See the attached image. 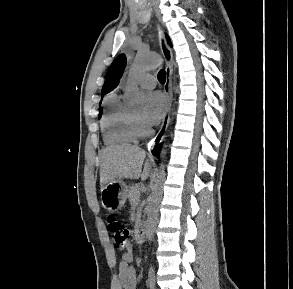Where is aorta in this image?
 <instances>
[{
	"label": "aorta",
	"mask_w": 293,
	"mask_h": 289,
	"mask_svg": "<svg viewBox=\"0 0 293 289\" xmlns=\"http://www.w3.org/2000/svg\"><path fill=\"white\" fill-rule=\"evenodd\" d=\"M162 64L161 58L139 53L131 68L130 79L127 88V100L131 105L139 106L144 103L145 94L139 90L136 77L146 71L156 69ZM165 151H162V155ZM165 178V166L162 163L157 174L147 206V220L145 234L149 242L153 240L158 220L159 205L162 199V184Z\"/></svg>",
	"instance_id": "obj_1"
}]
</instances>
